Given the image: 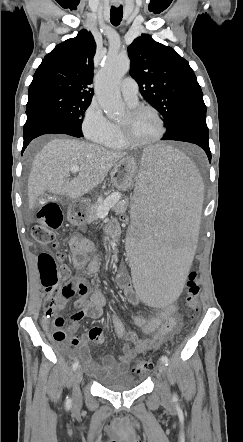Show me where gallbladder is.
<instances>
[{"mask_svg": "<svg viewBox=\"0 0 243 442\" xmlns=\"http://www.w3.org/2000/svg\"><path fill=\"white\" fill-rule=\"evenodd\" d=\"M48 199H55L59 201L61 198L58 193H43L36 201V206L44 205Z\"/></svg>", "mask_w": 243, "mask_h": 442, "instance_id": "bac80fb5", "label": "gallbladder"}]
</instances>
